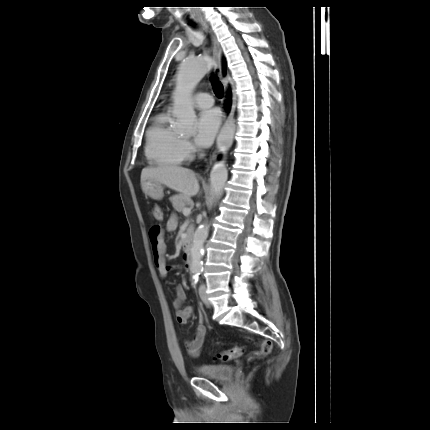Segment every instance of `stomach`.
Returning <instances> with one entry per match:
<instances>
[{"label": "stomach", "instance_id": "stomach-1", "mask_svg": "<svg viewBox=\"0 0 430 430\" xmlns=\"http://www.w3.org/2000/svg\"><path fill=\"white\" fill-rule=\"evenodd\" d=\"M142 191L144 194L148 195L149 197L160 200L163 198V184L153 180V179H147L141 183Z\"/></svg>", "mask_w": 430, "mask_h": 430}]
</instances>
